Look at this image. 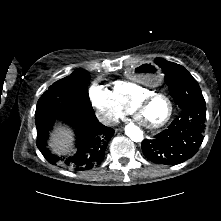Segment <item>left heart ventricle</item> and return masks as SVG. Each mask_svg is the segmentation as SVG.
<instances>
[{"label":"left heart ventricle","mask_w":221,"mask_h":221,"mask_svg":"<svg viewBox=\"0 0 221 221\" xmlns=\"http://www.w3.org/2000/svg\"><path fill=\"white\" fill-rule=\"evenodd\" d=\"M169 112V103L161 97L151 100L143 109L142 117L148 123L162 121Z\"/></svg>","instance_id":"b2bd125f"}]
</instances>
